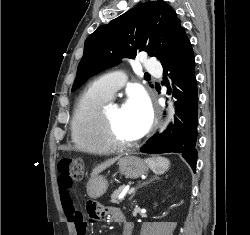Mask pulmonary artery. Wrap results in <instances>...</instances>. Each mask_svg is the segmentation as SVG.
<instances>
[{"label":"pulmonary artery","instance_id":"e3ab8cb5","mask_svg":"<svg viewBox=\"0 0 250 235\" xmlns=\"http://www.w3.org/2000/svg\"><path fill=\"white\" fill-rule=\"evenodd\" d=\"M145 68L149 73L160 74L161 68L156 64L154 59H147L145 61ZM126 80L122 73H111L104 75L93 82V86L98 91L104 93L109 97H113L117 90H119Z\"/></svg>","mask_w":250,"mask_h":235}]
</instances>
